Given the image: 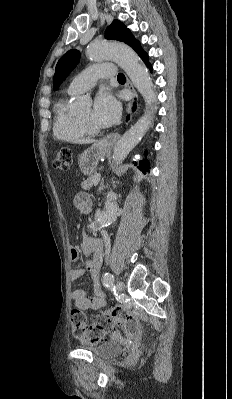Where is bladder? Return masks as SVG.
Instances as JSON below:
<instances>
[{
  "label": "bladder",
  "mask_w": 232,
  "mask_h": 399,
  "mask_svg": "<svg viewBox=\"0 0 232 399\" xmlns=\"http://www.w3.org/2000/svg\"><path fill=\"white\" fill-rule=\"evenodd\" d=\"M94 356L101 359L113 358L122 353V347L116 340H108L92 348Z\"/></svg>",
  "instance_id": "bladder-1"
}]
</instances>
